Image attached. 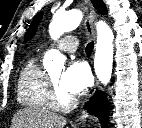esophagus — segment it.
Instances as JSON below:
<instances>
[{"label": "esophagus", "mask_w": 142, "mask_h": 128, "mask_svg": "<svg viewBox=\"0 0 142 128\" xmlns=\"http://www.w3.org/2000/svg\"><path fill=\"white\" fill-rule=\"evenodd\" d=\"M90 17H91V24H92V29H93V37L94 40H96V29H95V25H96V20H97V13L95 12L94 8H91V13H90ZM100 87V83L98 81V79L95 80V84L92 88V91L89 95V98L97 91L99 90ZM89 118L88 113L85 111L83 112V114L80 116V118L78 119V124H84Z\"/></svg>", "instance_id": "esophagus-1"}]
</instances>
